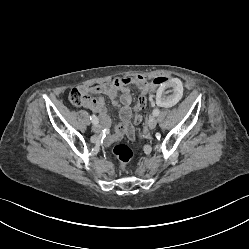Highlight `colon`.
Instances as JSON below:
<instances>
[{
    "label": "colon",
    "mask_w": 249,
    "mask_h": 249,
    "mask_svg": "<svg viewBox=\"0 0 249 249\" xmlns=\"http://www.w3.org/2000/svg\"><path fill=\"white\" fill-rule=\"evenodd\" d=\"M166 80V77L162 75H156L152 78L151 83L154 86H160ZM69 100L74 106H81L84 104L85 95L78 88L73 89L69 95ZM147 103V96L142 94L139 96L137 104L135 106V116L134 121L139 122L142 118L141 112L145 109ZM110 153L115 156L121 164L122 168H125L132 158L131 149L123 144L117 143L113 145L110 149Z\"/></svg>",
    "instance_id": "colon-1"
}]
</instances>
